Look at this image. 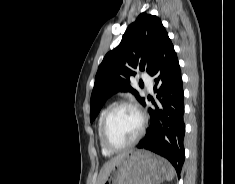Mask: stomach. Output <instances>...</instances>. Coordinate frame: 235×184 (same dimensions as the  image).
I'll list each match as a JSON object with an SVG mask.
<instances>
[{"instance_id": "0dacf381", "label": "stomach", "mask_w": 235, "mask_h": 184, "mask_svg": "<svg viewBox=\"0 0 235 184\" xmlns=\"http://www.w3.org/2000/svg\"><path fill=\"white\" fill-rule=\"evenodd\" d=\"M168 162L146 150L129 152L113 166L104 184H160L167 176Z\"/></svg>"}]
</instances>
